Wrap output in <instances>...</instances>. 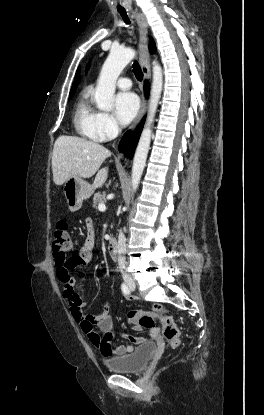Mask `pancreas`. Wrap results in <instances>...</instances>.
Here are the masks:
<instances>
[{
    "mask_svg": "<svg viewBox=\"0 0 264 415\" xmlns=\"http://www.w3.org/2000/svg\"><path fill=\"white\" fill-rule=\"evenodd\" d=\"M104 203V196L100 192H97L94 194L93 197V206L94 208H97L99 204Z\"/></svg>",
    "mask_w": 264,
    "mask_h": 415,
    "instance_id": "pancreas-1",
    "label": "pancreas"
}]
</instances>
